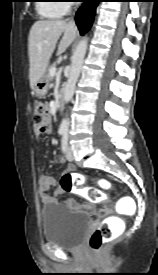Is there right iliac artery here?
<instances>
[{"label":"right iliac artery","mask_w":158,"mask_h":275,"mask_svg":"<svg viewBox=\"0 0 158 275\" xmlns=\"http://www.w3.org/2000/svg\"><path fill=\"white\" fill-rule=\"evenodd\" d=\"M63 133H64V132H59V134H61V135H62Z\"/></svg>","instance_id":"82829eb1"}]
</instances>
